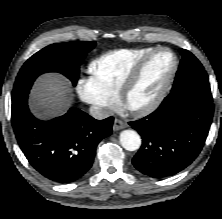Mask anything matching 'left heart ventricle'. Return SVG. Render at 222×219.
Returning <instances> with one entry per match:
<instances>
[{"instance_id":"left-heart-ventricle-1","label":"left heart ventricle","mask_w":222,"mask_h":219,"mask_svg":"<svg viewBox=\"0 0 222 219\" xmlns=\"http://www.w3.org/2000/svg\"><path fill=\"white\" fill-rule=\"evenodd\" d=\"M172 65L173 58L168 52L153 56L147 63L140 82L131 93L129 104L138 107L150 102L162 87Z\"/></svg>"}]
</instances>
